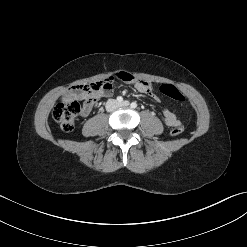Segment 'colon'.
Returning <instances> with one entry per match:
<instances>
[{
	"label": "colon",
	"instance_id": "colon-1",
	"mask_svg": "<svg viewBox=\"0 0 247 247\" xmlns=\"http://www.w3.org/2000/svg\"><path fill=\"white\" fill-rule=\"evenodd\" d=\"M112 82V79L108 78L102 81L78 86L72 94L67 95L55 106L52 113L53 119L59 124L63 131H72L81 111L80 105L75 97V92L78 91L82 93L88 102L94 103L103 92L112 88ZM159 91L163 95L177 102H183L185 100L184 95L174 85H160ZM182 132V126H176L171 130L173 136H178Z\"/></svg>",
	"mask_w": 247,
	"mask_h": 247
}]
</instances>
